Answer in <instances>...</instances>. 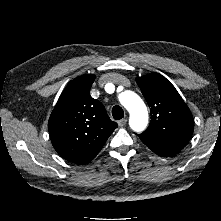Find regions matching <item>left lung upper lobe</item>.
Returning <instances> with one entry per match:
<instances>
[{
	"instance_id": "left-lung-upper-lobe-1",
	"label": "left lung upper lobe",
	"mask_w": 221,
	"mask_h": 221,
	"mask_svg": "<svg viewBox=\"0 0 221 221\" xmlns=\"http://www.w3.org/2000/svg\"><path fill=\"white\" fill-rule=\"evenodd\" d=\"M136 82L151 112V122L145 132L166 138L190 139L193 117L175 87L158 73L137 77Z\"/></svg>"
}]
</instances>
